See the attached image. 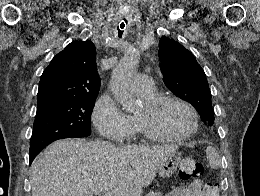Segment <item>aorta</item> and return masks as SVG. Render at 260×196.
Listing matches in <instances>:
<instances>
[{
	"label": "aorta",
	"instance_id": "1",
	"mask_svg": "<svg viewBox=\"0 0 260 196\" xmlns=\"http://www.w3.org/2000/svg\"><path fill=\"white\" fill-rule=\"evenodd\" d=\"M139 63V52L135 49L128 50L113 69L110 89L116 101L127 109L134 107V95L130 82L135 68Z\"/></svg>",
	"mask_w": 260,
	"mask_h": 196
}]
</instances>
